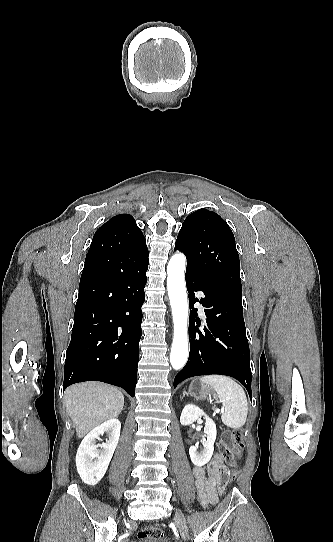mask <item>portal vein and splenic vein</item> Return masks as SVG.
Returning a JSON list of instances; mask_svg holds the SVG:
<instances>
[{
	"label": "portal vein and splenic vein",
	"instance_id": "18ae733b",
	"mask_svg": "<svg viewBox=\"0 0 333 542\" xmlns=\"http://www.w3.org/2000/svg\"><path fill=\"white\" fill-rule=\"evenodd\" d=\"M215 412H224V410L222 408V410H215Z\"/></svg>",
	"mask_w": 333,
	"mask_h": 542
}]
</instances>
